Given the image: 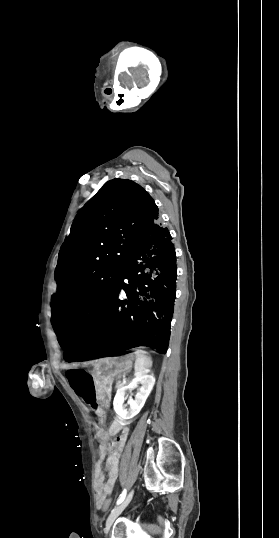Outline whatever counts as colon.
Listing matches in <instances>:
<instances>
[{
    "mask_svg": "<svg viewBox=\"0 0 279 538\" xmlns=\"http://www.w3.org/2000/svg\"><path fill=\"white\" fill-rule=\"evenodd\" d=\"M112 502L110 499H106L103 503H102V509L103 510H108L111 506Z\"/></svg>",
    "mask_w": 279,
    "mask_h": 538,
    "instance_id": "obj_1",
    "label": "colon"
}]
</instances>
